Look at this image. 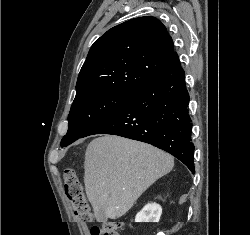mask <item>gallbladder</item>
Returning a JSON list of instances; mask_svg holds the SVG:
<instances>
[{"label": "gallbladder", "mask_w": 250, "mask_h": 235, "mask_svg": "<svg viewBox=\"0 0 250 235\" xmlns=\"http://www.w3.org/2000/svg\"><path fill=\"white\" fill-rule=\"evenodd\" d=\"M98 219H99V221H102V222H106L107 221L108 218L105 215L104 210L100 211Z\"/></svg>", "instance_id": "gallbladder-1"}]
</instances>
